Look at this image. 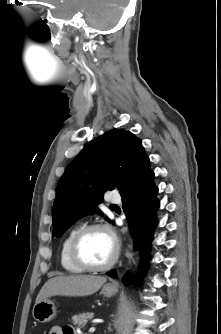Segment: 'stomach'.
<instances>
[{"label": "stomach", "mask_w": 221, "mask_h": 334, "mask_svg": "<svg viewBox=\"0 0 221 334\" xmlns=\"http://www.w3.org/2000/svg\"><path fill=\"white\" fill-rule=\"evenodd\" d=\"M117 292L114 285L106 284L103 286L101 293L104 297L110 298ZM56 307L50 299H45L35 303L32 315L33 318L40 323H47L55 318Z\"/></svg>", "instance_id": "1"}]
</instances>
